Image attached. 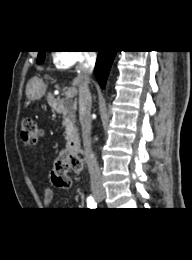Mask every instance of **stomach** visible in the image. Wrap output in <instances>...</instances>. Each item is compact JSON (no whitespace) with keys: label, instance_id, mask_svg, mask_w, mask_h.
Masks as SVG:
<instances>
[{"label":"stomach","instance_id":"stomach-1","mask_svg":"<svg viewBox=\"0 0 192 260\" xmlns=\"http://www.w3.org/2000/svg\"><path fill=\"white\" fill-rule=\"evenodd\" d=\"M27 87V97L31 100L40 99L46 91V86L41 80L32 79Z\"/></svg>","mask_w":192,"mask_h":260}]
</instances>
